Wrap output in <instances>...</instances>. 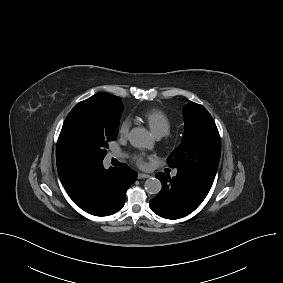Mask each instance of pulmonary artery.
<instances>
[{
    "label": "pulmonary artery",
    "mask_w": 283,
    "mask_h": 283,
    "mask_svg": "<svg viewBox=\"0 0 283 283\" xmlns=\"http://www.w3.org/2000/svg\"><path fill=\"white\" fill-rule=\"evenodd\" d=\"M112 157H115V158H117V157H119V155H117V154H114V155H112ZM177 174V172L176 171H174L173 172V176H175Z\"/></svg>",
    "instance_id": "e3ab8cb5"
}]
</instances>
